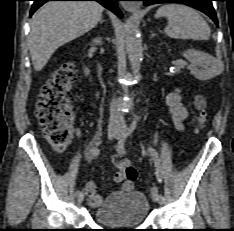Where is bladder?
<instances>
[{
	"instance_id": "obj_1",
	"label": "bladder",
	"mask_w": 234,
	"mask_h": 231,
	"mask_svg": "<svg viewBox=\"0 0 234 231\" xmlns=\"http://www.w3.org/2000/svg\"><path fill=\"white\" fill-rule=\"evenodd\" d=\"M150 205L147 197L138 191L109 195L93 213L94 220L112 226H135L148 217Z\"/></svg>"
}]
</instances>
